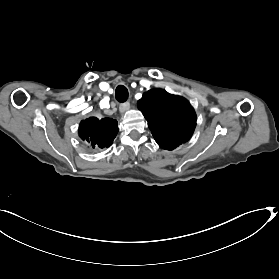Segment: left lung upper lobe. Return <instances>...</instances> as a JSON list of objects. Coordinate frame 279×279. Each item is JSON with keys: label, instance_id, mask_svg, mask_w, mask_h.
Returning a JSON list of instances; mask_svg holds the SVG:
<instances>
[{"label": "left lung upper lobe", "instance_id": "left-lung-upper-lobe-1", "mask_svg": "<svg viewBox=\"0 0 279 279\" xmlns=\"http://www.w3.org/2000/svg\"><path fill=\"white\" fill-rule=\"evenodd\" d=\"M157 144L173 150L187 142L196 126V114L187 100L163 89H152L137 103Z\"/></svg>", "mask_w": 279, "mask_h": 279}]
</instances>
